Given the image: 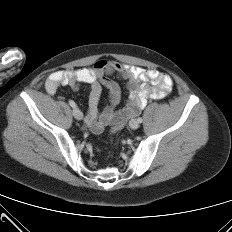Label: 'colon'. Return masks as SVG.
I'll return each mask as SVG.
<instances>
[{
    "label": "colon",
    "mask_w": 232,
    "mask_h": 232,
    "mask_svg": "<svg viewBox=\"0 0 232 232\" xmlns=\"http://www.w3.org/2000/svg\"><path fill=\"white\" fill-rule=\"evenodd\" d=\"M128 122V117L127 116H122L121 117V122H118L111 128V133H116L118 130H122L123 126L126 125Z\"/></svg>",
    "instance_id": "colon-1"
}]
</instances>
